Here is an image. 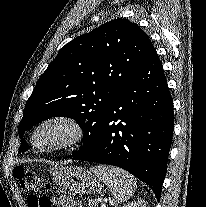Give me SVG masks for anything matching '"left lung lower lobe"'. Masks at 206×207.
I'll return each mask as SVG.
<instances>
[{
  "label": "left lung lower lobe",
  "mask_w": 206,
  "mask_h": 207,
  "mask_svg": "<svg viewBox=\"0 0 206 207\" xmlns=\"http://www.w3.org/2000/svg\"><path fill=\"white\" fill-rule=\"evenodd\" d=\"M173 127L172 98L154 52L106 109L93 144L72 158L123 168L148 184L159 201Z\"/></svg>",
  "instance_id": "left-lung-lower-lobe-1"
}]
</instances>
